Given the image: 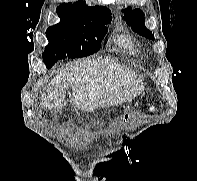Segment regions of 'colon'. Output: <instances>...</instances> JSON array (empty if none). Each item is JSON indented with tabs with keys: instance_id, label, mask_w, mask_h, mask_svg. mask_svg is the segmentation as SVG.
<instances>
[{
	"instance_id": "1",
	"label": "colon",
	"mask_w": 197,
	"mask_h": 181,
	"mask_svg": "<svg viewBox=\"0 0 197 181\" xmlns=\"http://www.w3.org/2000/svg\"><path fill=\"white\" fill-rule=\"evenodd\" d=\"M149 110H150V111H153V110H154V107H150Z\"/></svg>"
}]
</instances>
